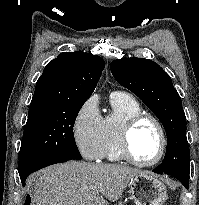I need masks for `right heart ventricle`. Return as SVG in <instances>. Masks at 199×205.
<instances>
[{"instance_id": "1", "label": "right heart ventricle", "mask_w": 199, "mask_h": 205, "mask_svg": "<svg viewBox=\"0 0 199 205\" xmlns=\"http://www.w3.org/2000/svg\"><path fill=\"white\" fill-rule=\"evenodd\" d=\"M111 112L102 118L103 158L120 162L123 158L118 148V137L122 124L129 117L141 113L139 102L125 93H114L110 98Z\"/></svg>"}]
</instances>
